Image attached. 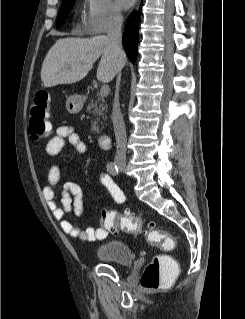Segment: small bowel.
Segmentation results:
<instances>
[{
    "label": "small bowel",
    "instance_id": "small-bowel-1",
    "mask_svg": "<svg viewBox=\"0 0 245 319\" xmlns=\"http://www.w3.org/2000/svg\"><path fill=\"white\" fill-rule=\"evenodd\" d=\"M66 142L73 145L80 154H85L87 151L85 144L81 141L74 127L66 125L57 128L55 134L46 145V153L49 156L58 155ZM99 179L102 186L110 193L114 200L120 197L118 194L119 187L113 182L110 176L100 174ZM59 181L60 168L57 164H53L48 170L47 185L43 188V197L54 218L59 221L61 229L66 234L72 237H79L86 242L104 240L108 235L106 228L88 227L85 230H80L75 223L65 218L68 213H73L76 216L82 215L84 211L83 190L81 186L75 182H65L60 190V202H57L56 195ZM115 202L117 201L115 200Z\"/></svg>",
    "mask_w": 245,
    "mask_h": 319
}]
</instances>
